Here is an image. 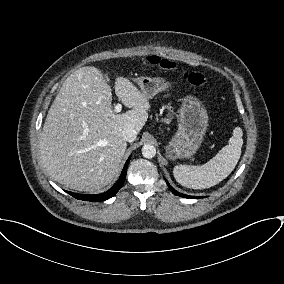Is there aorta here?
Wrapping results in <instances>:
<instances>
[{"label":"aorta","instance_id":"obj_1","mask_svg":"<svg viewBox=\"0 0 284 284\" xmlns=\"http://www.w3.org/2000/svg\"><path fill=\"white\" fill-rule=\"evenodd\" d=\"M142 155L147 159H151L156 155V148L152 144H145L142 147Z\"/></svg>","mask_w":284,"mask_h":284}]
</instances>
